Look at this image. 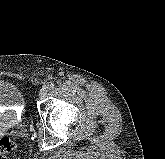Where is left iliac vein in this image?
<instances>
[{"instance_id":"left-iliac-vein-1","label":"left iliac vein","mask_w":165,"mask_h":159,"mask_svg":"<svg viewBox=\"0 0 165 159\" xmlns=\"http://www.w3.org/2000/svg\"><path fill=\"white\" fill-rule=\"evenodd\" d=\"M47 93H48V87L47 86L42 87V89L39 92V98L44 99L47 96Z\"/></svg>"}]
</instances>
